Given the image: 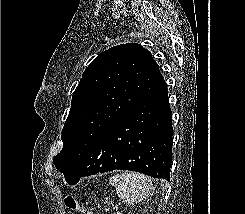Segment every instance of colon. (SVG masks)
Instances as JSON below:
<instances>
[{"label": "colon", "mask_w": 245, "mask_h": 214, "mask_svg": "<svg viewBox=\"0 0 245 214\" xmlns=\"http://www.w3.org/2000/svg\"><path fill=\"white\" fill-rule=\"evenodd\" d=\"M66 205L68 208L78 211L80 214H95L90 210L78 205L77 202L72 197H68L66 199ZM115 214H122V213L117 212Z\"/></svg>", "instance_id": "colon-1"}]
</instances>
